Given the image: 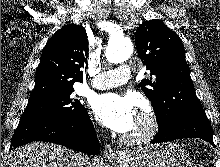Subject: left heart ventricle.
<instances>
[{
    "instance_id": "left-heart-ventricle-1",
    "label": "left heart ventricle",
    "mask_w": 220,
    "mask_h": 167,
    "mask_svg": "<svg viewBox=\"0 0 220 167\" xmlns=\"http://www.w3.org/2000/svg\"><path fill=\"white\" fill-rule=\"evenodd\" d=\"M144 123L143 120L137 115L133 127L126 133V135H135L143 130Z\"/></svg>"
}]
</instances>
